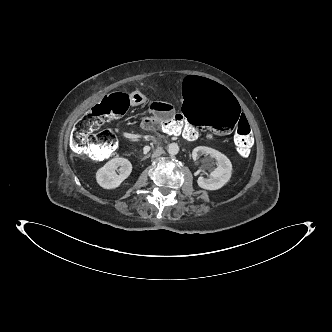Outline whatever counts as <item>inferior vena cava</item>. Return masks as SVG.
Segmentation results:
<instances>
[{"label":"inferior vena cava","instance_id":"1","mask_svg":"<svg viewBox=\"0 0 332 332\" xmlns=\"http://www.w3.org/2000/svg\"><path fill=\"white\" fill-rule=\"evenodd\" d=\"M163 152H164L163 148L158 147V148L153 152L152 157H153V158L158 157V156H160Z\"/></svg>","mask_w":332,"mask_h":332}]
</instances>
